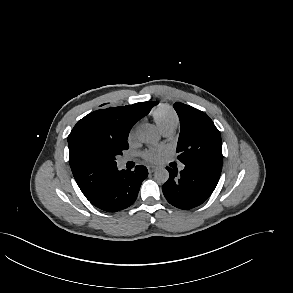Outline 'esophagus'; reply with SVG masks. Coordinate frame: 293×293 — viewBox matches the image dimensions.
<instances>
[{
    "label": "esophagus",
    "mask_w": 293,
    "mask_h": 293,
    "mask_svg": "<svg viewBox=\"0 0 293 293\" xmlns=\"http://www.w3.org/2000/svg\"><path fill=\"white\" fill-rule=\"evenodd\" d=\"M157 166H155V165H148L147 166V169H148V171H149V173H153L154 171H156L157 170Z\"/></svg>",
    "instance_id": "1"
}]
</instances>
